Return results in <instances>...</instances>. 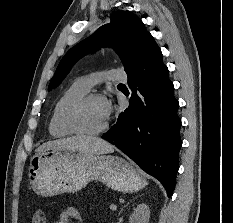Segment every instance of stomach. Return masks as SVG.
<instances>
[{
  "instance_id": "0dacf381",
  "label": "stomach",
  "mask_w": 233,
  "mask_h": 223,
  "mask_svg": "<svg viewBox=\"0 0 233 223\" xmlns=\"http://www.w3.org/2000/svg\"><path fill=\"white\" fill-rule=\"evenodd\" d=\"M30 185L42 197L76 193L89 181H102L107 187L132 193L147 185L146 179L123 157L80 153L59 145L39 147L30 159Z\"/></svg>"
}]
</instances>
